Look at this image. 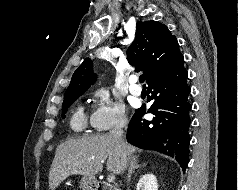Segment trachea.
Segmentation results:
<instances>
[{
	"label": "trachea",
	"instance_id": "1",
	"mask_svg": "<svg viewBox=\"0 0 238 190\" xmlns=\"http://www.w3.org/2000/svg\"><path fill=\"white\" fill-rule=\"evenodd\" d=\"M139 82H140V83H144V76H143V75H141V76L139 77Z\"/></svg>",
	"mask_w": 238,
	"mask_h": 190
}]
</instances>
